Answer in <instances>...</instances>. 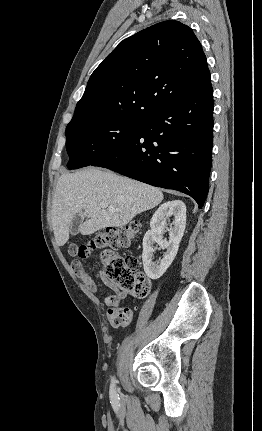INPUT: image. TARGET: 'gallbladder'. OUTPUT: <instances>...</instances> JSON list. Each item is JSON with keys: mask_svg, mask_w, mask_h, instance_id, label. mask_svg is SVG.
<instances>
[{"mask_svg": "<svg viewBox=\"0 0 262 431\" xmlns=\"http://www.w3.org/2000/svg\"><path fill=\"white\" fill-rule=\"evenodd\" d=\"M83 220H84V215H82V214H76L74 216V218L72 220L71 227H70V234L72 236H76V235L79 234L80 227H81V225L83 223Z\"/></svg>", "mask_w": 262, "mask_h": 431, "instance_id": "gallbladder-1", "label": "gallbladder"}]
</instances>
